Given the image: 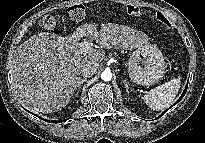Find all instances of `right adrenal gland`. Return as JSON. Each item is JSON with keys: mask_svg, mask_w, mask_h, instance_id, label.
I'll use <instances>...</instances> for the list:
<instances>
[{"mask_svg": "<svg viewBox=\"0 0 205 143\" xmlns=\"http://www.w3.org/2000/svg\"><path fill=\"white\" fill-rule=\"evenodd\" d=\"M87 78H84V79H81L77 85V93H76V96L78 95L79 91H80V88H81V85H83L84 82H86Z\"/></svg>", "mask_w": 205, "mask_h": 143, "instance_id": "obj_1", "label": "right adrenal gland"}]
</instances>
